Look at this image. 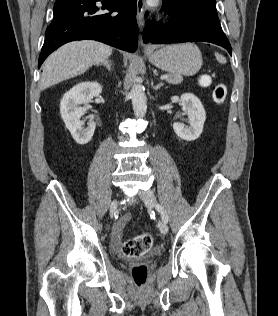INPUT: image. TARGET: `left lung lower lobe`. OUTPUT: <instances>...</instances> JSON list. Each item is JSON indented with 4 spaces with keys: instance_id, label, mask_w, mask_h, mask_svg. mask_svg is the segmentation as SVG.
<instances>
[{
    "instance_id": "0a47b994",
    "label": "left lung lower lobe",
    "mask_w": 278,
    "mask_h": 316,
    "mask_svg": "<svg viewBox=\"0 0 278 316\" xmlns=\"http://www.w3.org/2000/svg\"><path fill=\"white\" fill-rule=\"evenodd\" d=\"M162 9L172 18V24L147 23L144 32L145 43L167 44L202 41L222 46L232 55L231 45L223 31L202 22L176 17L165 2H163Z\"/></svg>"
}]
</instances>
